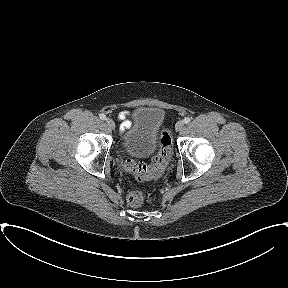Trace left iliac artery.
Wrapping results in <instances>:
<instances>
[{"label": "left iliac artery", "mask_w": 288, "mask_h": 288, "mask_svg": "<svg viewBox=\"0 0 288 288\" xmlns=\"http://www.w3.org/2000/svg\"><path fill=\"white\" fill-rule=\"evenodd\" d=\"M190 121H191V119L189 117H185L184 118V123L185 124H188Z\"/></svg>", "instance_id": "1"}]
</instances>
